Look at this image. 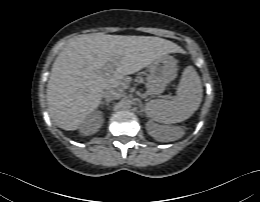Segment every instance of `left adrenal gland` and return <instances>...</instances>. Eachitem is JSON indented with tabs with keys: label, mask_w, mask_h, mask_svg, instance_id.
I'll return each instance as SVG.
<instances>
[{
	"label": "left adrenal gland",
	"mask_w": 260,
	"mask_h": 202,
	"mask_svg": "<svg viewBox=\"0 0 260 202\" xmlns=\"http://www.w3.org/2000/svg\"><path fill=\"white\" fill-rule=\"evenodd\" d=\"M140 108H141V112H145L146 113V108L143 106V104H140Z\"/></svg>",
	"instance_id": "left-adrenal-gland-1"
}]
</instances>
